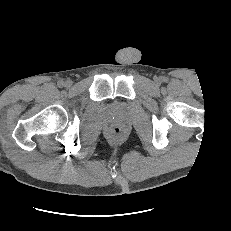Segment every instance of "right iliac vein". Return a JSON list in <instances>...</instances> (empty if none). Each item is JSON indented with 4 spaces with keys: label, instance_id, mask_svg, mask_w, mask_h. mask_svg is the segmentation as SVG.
<instances>
[{
    "label": "right iliac vein",
    "instance_id": "obj_1",
    "mask_svg": "<svg viewBox=\"0 0 231 231\" xmlns=\"http://www.w3.org/2000/svg\"><path fill=\"white\" fill-rule=\"evenodd\" d=\"M72 85V82L71 81H67L66 83H65V86L66 87H70Z\"/></svg>",
    "mask_w": 231,
    "mask_h": 231
}]
</instances>
